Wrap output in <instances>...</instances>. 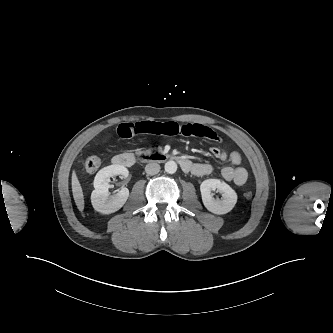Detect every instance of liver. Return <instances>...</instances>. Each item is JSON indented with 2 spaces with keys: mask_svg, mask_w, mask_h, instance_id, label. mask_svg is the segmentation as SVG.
<instances>
[{
  "mask_svg": "<svg viewBox=\"0 0 333 333\" xmlns=\"http://www.w3.org/2000/svg\"><path fill=\"white\" fill-rule=\"evenodd\" d=\"M71 184H72L73 198L75 200L77 208L79 209V211L82 212L84 210V195L81 184L77 178L75 171L72 174Z\"/></svg>",
  "mask_w": 333,
  "mask_h": 333,
  "instance_id": "obj_1",
  "label": "liver"
}]
</instances>
